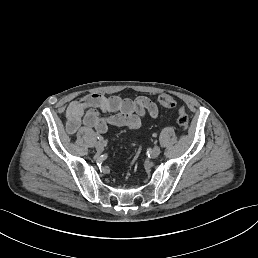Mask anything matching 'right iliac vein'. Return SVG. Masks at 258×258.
<instances>
[{"mask_svg": "<svg viewBox=\"0 0 258 258\" xmlns=\"http://www.w3.org/2000/svg\"><path fill=\"white\" fill-rule=\"evenodd\" d=\"M95 148H96V150H97V152H99V153H102V152H104V145L101 143V142H96L95 143Z\"/></svg>", "mask_w": 258, "mask_h": 258, "instance_id": "obj_1", "label": "right iliac vein"}]
</instances>
